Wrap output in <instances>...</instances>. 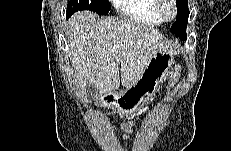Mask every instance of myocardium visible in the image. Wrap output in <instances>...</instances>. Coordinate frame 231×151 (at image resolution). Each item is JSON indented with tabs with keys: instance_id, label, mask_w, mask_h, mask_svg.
I'll return each mask as SVG.
<instances>
[{
	"instance_id": "f54148a6",
	"label": "myocardium",
	"mask_w": 231,
	"mask_h": 151,
	"mask_svg": "<svg viewBox=\"0 0 231 151\" xmlns=\"http://www.w3.org/2000/svg\"><path fill=\"white\" fill-rule=\"evenodd\" d=\"M166 8H170L171 12L167 14ZM155 10L157 15L163 21L173 20L177 16V5L175 0H155Z\"/></svg>"
}]
</instances>
